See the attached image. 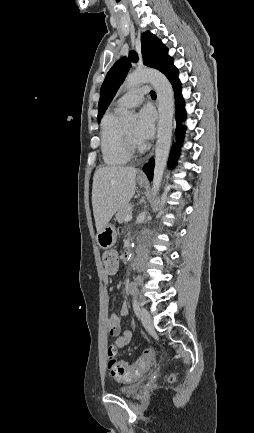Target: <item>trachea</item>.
Segmentation results:
<instances>
[{
  "mask_svg": "<svg viewBox=\"0 0 254 433\" xmlns=\"http://www.w3.org/2000/svg\"><path fill=\"white\" fill-rule=\"evenodd\" d=\"M150 95H151V97H152L153 99H156V93H155L154 91H151V92H150Z\"/></svg>",
  "mask_w": 254,
  "mask_h": 433,
  "instance_id": "trachea-1",
  "label": "trachea"
}]
</instances>
